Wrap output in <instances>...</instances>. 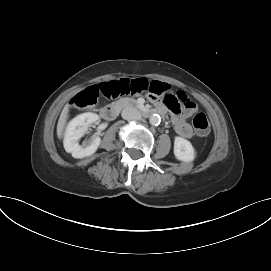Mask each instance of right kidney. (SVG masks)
<instances>
[{
  "mask_svg": "<svg viewBox=\"0 0 271 271\" xmlns=\"http://www.w3.org/2000/svg\"><path fill=\"white\" fill-rule=\"evenodd\" d=\"M99 119L95 113L87 112L73 118L67 125L64 148L71 153L74 158H84L91 156L98 149L101 138L93 136L89 145H79V139L85 134L88 127Z\"/></svg>",
  "mask_w": 271,
  "mask_h": 271,
  "instance_id": "right-kidney-1",
  "label": "right kidney"
}]
</instances>
